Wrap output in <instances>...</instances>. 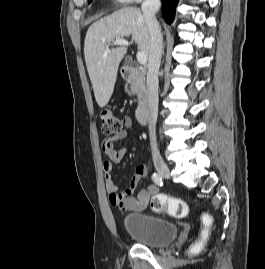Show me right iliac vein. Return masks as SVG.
<instances>
[{
  "mask_svg": "<svg viewBox=\"0 0 265 269\" xmlns=\"http://www.w3.org/2000/svg\"><path fill=\"white\" fill-rule=\"evenodd\" d=\"M154 166L157 170V172L164 178H169L170 176V170L167 166V164L161 160V159H157L154 161Z\"/></svg>",
  "mask_w": 265,
  "mask_h": 269,
  "instance_id": "obj_1",
  "label": "right iliac vein"
}]
</instances>
